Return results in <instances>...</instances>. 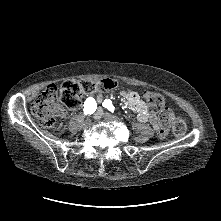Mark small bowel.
<instances>
[{
	"label": "small bowel",
	"mask_w": 221,
	"mask_h": 221,
	"mask_svg": "<svg viewBox=\"0 0 221 221\" xmlns=\"http://www.w3.org/2000/svg\"><path fill=\"white\" fill-rule=\"evenodd\" d=\"M121 95L127 100L129 105L135 109L138 113V119L140 122H150L156 131H159L161 126L159 121L154 115H151L147 109L145 103L140 99L139 95L133 91H122ZM90 98V97H89ZM97 101H101V97H96Z\"/></svg>",
	"instance_id": "1"
}]
</instances>
